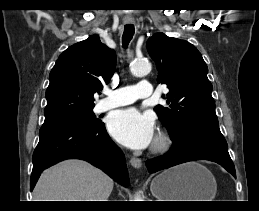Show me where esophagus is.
Wrapping results in <instances>:
<instances>
[{"mask_svg":"<svg viewBox=\"0 0 259 211\" xmlns=\"http://www.w3.org/2000/svg\"><path fill=\"white\" fill-rule=\"evenodd\" d=\"M130 163L131 165L134 167V168H137L139 169L141 166H142V161L140 158H137V157H132L130 159Z\"/></svg>","mask_w":259,"mask_h":211,"instance_id":"esophagus-1","label":"esophagus"}]
</instances>
